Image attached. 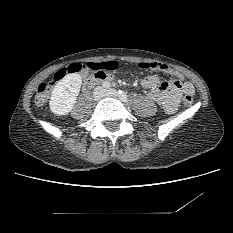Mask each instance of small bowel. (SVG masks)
<instances>
[{
	"instance_id": "small-bowel-1",
	"label": "small bowel",
	"mask_w": 233,
	"mask_h": 233,
	"mask_svg": "<svg viewBox=\"0 0 233 233\" xmlns=\"http://www.w3.org/2000/svg\"><path fill=\"white\" fill-rule=\"evenodd\" d=\"M118 61L116 59H108L102 63L88 62L83 65L82 74H86L89 70L102 72L112 78L111 71L116 70ZM181 79L180 74H176ZM174 79L171 81H162L158 74H150L143 78L142 86L149 90V97L153 101L159 103L166 113H174L177 110L178 102L181 94H193L194 89L191 83ZM108 82V81H107Z\"/></svg>"
}]
</instances>
